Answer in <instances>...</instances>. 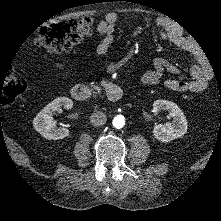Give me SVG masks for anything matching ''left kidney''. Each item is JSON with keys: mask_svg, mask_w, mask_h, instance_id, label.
Masks as SVG:
<instances>
[{"mask_svg": "<svg viewBox=\"0 0 221 221\" xmlns=\"http://www.w3.org/2000/svg\"><path fill=\"white\" fill-rule=\"evenodd\" d=\"M153 111L158 114L161 111H168V123H155L153 126L154 136L161 142H169L177 137H181L187 131V120L184 112L177 104L168 100H156L153 103Z\"/></svg>", "mask_w": 221, "mask_h": 221, "instance_id": "1", "label": "left kidney"}]
</instances>
